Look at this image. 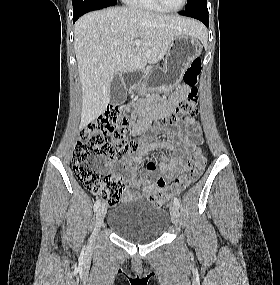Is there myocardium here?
I'll return each mask as SVG.
<instances>
[{
  "mask_svg": "<svg viewBox=\"0 0 280 285\" xmlns=\"http://www.w3.org/2000/svg\"><path fill=\"white\" fill-rule=\"evenodd\" d=\"M155 1H156V3L159 5V7H160L163 11H165V12H173V13H174V12H179V11H181V10L186 6L188 0H183L182 3H181V5H180L179 7L173 8V9L167 7V6L164 4L163 0H155Z\"/></svg>",
  "mask_w": 280,
  "mask_h": 285,
  "instance_id": "myocardium-1",
  "label": "myocardium"
}]
</instances>
